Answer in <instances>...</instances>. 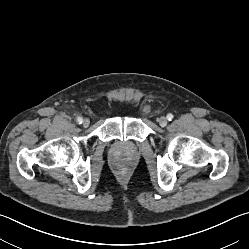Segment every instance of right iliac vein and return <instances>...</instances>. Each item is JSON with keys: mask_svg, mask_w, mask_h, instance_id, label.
<instances>
[{"mask_svg": "<svg viewBox=\"0 0 249 249\" xmlns=\"http://www.w3.org/2000/svg\"><path fill=\"white\" fill-rule=\"evenodd\" d=\"M89 124H90V120L89 119L86 118V119L83 120V126L84 127H88Z\"/></svg>", "mask_w": 249, "mask_h": 249, "instance_id": "63e3f726", "label": "right iliac vein"}]
</instances>
